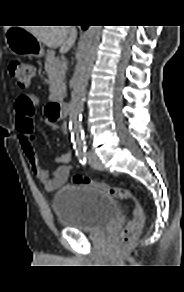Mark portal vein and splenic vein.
<instances>
[{"instance_id": "portal-vein-and-splenic-vein-1", "label": "portal vein and splenic vein", "mask_w": 184, "mask_h": 292, "mask_svg": "<svg viewBox=\"0 0 184 292\" xmlns=\"http://www.w3.org/2000/svg\"><path fill=\"white\" fill-rule=\"evenodd\" d=\"M62 68H64V69L67 68V63H66V62H63V63H62Z\"/></svg>"}]
</instances>
